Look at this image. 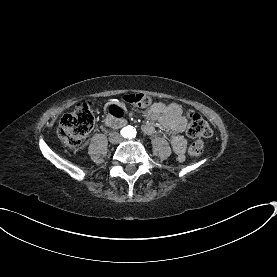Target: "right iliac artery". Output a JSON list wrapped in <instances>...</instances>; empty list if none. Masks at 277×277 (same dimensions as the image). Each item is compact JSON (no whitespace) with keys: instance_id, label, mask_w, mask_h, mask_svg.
<instances>
[{"instance_id":"82829eb1","label":"right iliac artery","mask_w":277,"mask_h":277,"mask_svg":"<svg viewBox=\"0 0 277 277\" xmlns=\"http://www.w3.org/2000/svg\"><path fill=\"white\" fill-rule=\"evenodd\" d=\"M122 135H125V131L124 130H122Z\"/></svg>"}]
</instances>
